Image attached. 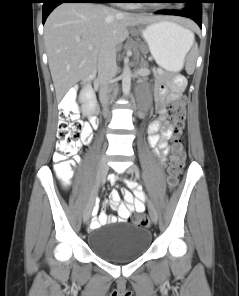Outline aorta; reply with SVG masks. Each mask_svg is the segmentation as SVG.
I'll return each instance as SVG.
<instances>
[{
    "mask_svg": "<svg viewBox=\"0 0 239 296\" xmlns=\"http://www.w3.org/2000/svg\"><path fill=\"white\" fill-rule=\"evenodd\" d=\"M131 70L128 65V59L125 60V66L122 73V90L124 95H128L131 88Z\"/></svg>",
    "mask_w": 239,
    "mask_h": 296,
    "instance_id": "762f6f07",
    "label": "aorta"
}]
</instances>
